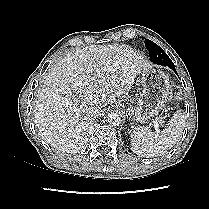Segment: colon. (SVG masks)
Here are the masks:
<instances>
[{"label":"colon","mask_w":209,"mask_h":209,"mask_svg":"<svg viewBox=\"0 0 209 209\" xmlns=\"http://www.w3.org/2000/svg\"><path fill=\"white\" fill-rule=\"evenodd\" d=\"M180 97V90L178 88H173L171 91V98L177 100Z\"/></svg>","instance_id":"5ec220e1"}]
</instances>
